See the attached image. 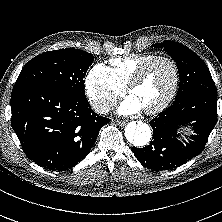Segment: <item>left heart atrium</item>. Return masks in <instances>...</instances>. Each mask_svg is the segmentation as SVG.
<instances>
[{"label": "left heart atrium", "mask_w": 222, "mask_h": 222, "mask_svg": "<svg viewBox=\"0 0 222 222\" xmlns=\"http://www.w3.org/2000/svg\"><path fill=\"white\" fill-rule=\"evenodd\" d=\"M144 108L140 101L134 96L129 95L125 98V100L121 103V105L118 108V111L120 114L128 115V114H134L142 111Z\"/></svg>", "instance_id": "obj_1"}]
</instances>
